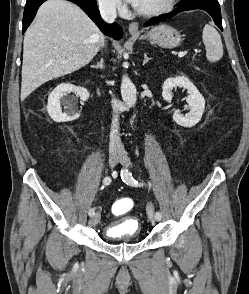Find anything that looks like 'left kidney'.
<instances>
[{
  "mask_svg": "<svg viewBox=\"0 0 249 294\" xmlns=\"http://www.w3.org/2000/svg\"><path fill=\"white\" fill-rule=\"evenodd\" d=\"M175 87H183L187 90L188 96L186 101L190 112L188 115L183 116L179 110H175L173 113V120L180 126L189 128L193 127L202 118L205 109V99L196 86L187 77L176 76L166 79L163 83L162 97L165 101H171V93Z\"/></svg>",
  "mask_w": 249,
  "mask_h": 294,
  "instance_id": "left-kidney-1",
  "label": "left kidney"
}]
</instances>
